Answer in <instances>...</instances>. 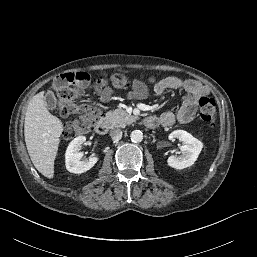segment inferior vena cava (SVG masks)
<instances>
[{
	"label": "inferior vena cava",
	"mask_w": 257,
	"mask_h": 257,
	"mask_svg": "<svg viewBox=\"0 0 257 257\" xmlns=\"http://www.w3.org/2000/svg\"><path fill=\"white\" fill-rule=\"evenodd\" d=\"M112 140H120L122 137V131L120 129L112 130L109 133Z\"/></svg>",
	"instance_id": "1"
}]
</instances>
